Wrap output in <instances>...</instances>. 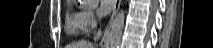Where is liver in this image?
Returning a JSON list of instances; mask_svg holds the SVG:
<instances>
[{
	"instance_id": "6515ba94",
	"label": "liver",
	"mask_w": 213,
	"mask_h": 48,
	"mask_svg": "<svg viewBox=\"0 0 213 48\" xmlns=\"http://www.w3.org/2000/svg\"><path fill=\"white\" fill-rule=\"evenodd\" d=\"M67 48H94V45L87 41H78L72 45H69Z\"/></svg>"
}]
</instances>
